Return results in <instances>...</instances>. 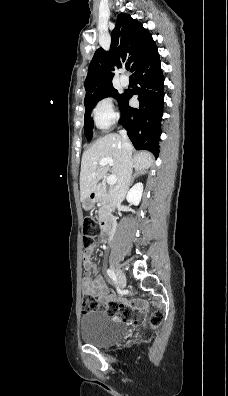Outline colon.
<instances>
[{"label": "colon", "instance_id": "5ec220e1", "mask_svg": "<svg viewBox=\"0 0 228 396\" xmlns=\"http://www.w3.org/2000/svg\"><path fill=\"white\" fill-rule=\"evenodd\" d=\"M97 230L95 222L90 219V218H85L83 222V242L84 245L86 246L85 252L87 249L91 246V240L93 237V233ZM84 252V255H85ZM100 304L98 300L90 295V294H84L83 300H82V309L84 312H91V311H96L99 310ZM107 313L110 316H120L121 318L125 320H133L136 319L139 314L136 313L134 309L131 307L122 305V304H117V303H108L106 305ZM163 319V316L161 313L156 312L154 313L151 318H150V325L152 327H157L158 325L161 324Z\"/></svg>", "mask_w": 228, "mask_h": 396}]
</instances>
